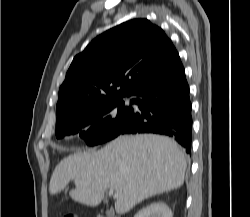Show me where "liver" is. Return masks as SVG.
<instances>
[{
  "mask_svg": "<svg viewBox=\"0 0 250 217\" xmlns=\"http://www.w3.org/2000/svg\"><path fill=\"white\" fill-rule=\"evenodd\" d=\"M186 159L177 143L165 136H119L98 151H77L54 169L49 193L75 183L70 197L96 207L106 190L115 191V211L129 212L143 200L177 189L184 183Z\"/></svg>",
  "mask_w": 250,
  "mask_h": 217,
  "instance_id": "1",
  "label": "liver"
}]
</instances>
